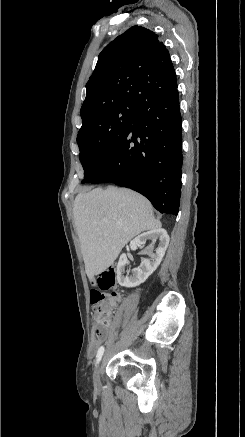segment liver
Instances as JSON below:
<instances>
[{
  "instance_id": "obj_1",
  "label": "liver",
  "mask_w": 245,
  "mask_h": 437,
  "mask_svg": "<svg viewBox=\"0 0 245 437\" xmlns=\"http://www.w3.org/2000/svg\"><path fill=\"white\" fill-rule=\"evenodd\" d=\"M73 216L90 280L112 265L133 237L161 228L151 203L125 188H96L79 193Z\"/></svg>"
}]
</instances>
